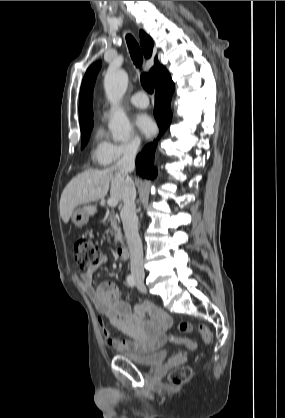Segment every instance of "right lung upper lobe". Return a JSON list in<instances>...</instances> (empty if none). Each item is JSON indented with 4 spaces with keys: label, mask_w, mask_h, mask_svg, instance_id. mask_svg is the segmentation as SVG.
<instances>
[{
    "label": "right lung upper lobe",
    "mask_w": 285,
    "mask_h": 418,
    "mask_svg": "<svg viewBox=\"0 0 285 418\" xmlns=\"http://www.w3.org/2000/svg\"><path fill=\"white\" fill-rule=\"evenodd\" d=\"M140 42L143 53L146 58L152 56L153 51V40L142 30L140 31ZM101 68V62L93 63L86 71V74L83 78L81 89H80V98H79V117H80V126L81 128L92 124L93 112H92V98H93V87L98 74L99 69ZM150 73L154 78L155 87L160 85L165 81V79L170 76L165 67L160 66L157 57H155V65L150 69Z\"/></svg>",
    "instance_id": "1"
}]
</instances>
